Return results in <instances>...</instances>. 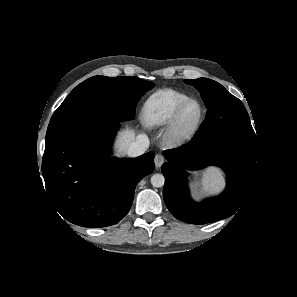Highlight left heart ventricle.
Masks as SVG:
<instances>
[{"label": "left heart ventricle", "mask_w": 297, "mask_h": 297, "mask_svg": "<svg viewBox=\"0 0 297 297\" xmlns=\"http://www.w3.org/2000/svg\"><path fill=\"white\" fill-rule=\"evenodd\" d=\"M199 106L196 103L189 104L182 113L180 126L182 129L191 127L199 116Z\"/></svg>", "instance_id": "1"}]
</instances>
